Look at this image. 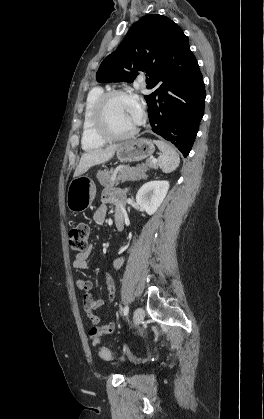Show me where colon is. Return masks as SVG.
<instances>
[{"label":"colon","instance_id":"5ec220e1","mask_svg":"<svg viewBox=\"0 0 264 419\" xmlns=\"http://www.w3.org/2000/svg\"><path fill=\"white\" fill-rule=\"evenodd\" d=\"M68 241L71 249L78 252H84L88 247L89 241L88 225L80 223L74 226L69 232ZM98 354L100 358L107 361L115 358V354L106 348H100Z\"/></svg>","mask_w":264,"mask_h":419}]
</instances>
